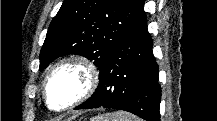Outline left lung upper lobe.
<instances>
[{
  "label": "left lung upper lobe",
  "instance_id": "5c2ea615",
  "mask_svg": "<svg viewBox=\"0 0 217 121\" xmlns=\"http://www.w3.org/2000/svg\"><path fill=\"white\" fill-rule=\"evenodd\" d=\"M143 0H64L47 31L40 69L67 54H79L101 70L127 31Z\"/></svg>",
  "mask_w": 217,
  "mask_h": 121
}]
</instances>
